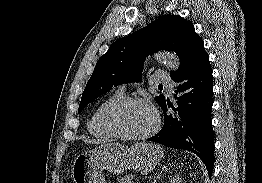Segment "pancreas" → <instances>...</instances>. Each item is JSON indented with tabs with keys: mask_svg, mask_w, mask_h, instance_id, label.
I'll return each instance as SVG.
<instances>
[{
	"mask_svg": "<svg viewBox=\"0 0 262 183\" xmlns=\"http://www.w3.org/2000/svg\"><path fill=\"white\" fill-rule=\"evenodd\" d=\"M133 178V175H126L123 178H121L117 183H132Z\"/></svg>",
	"mask_w": 262,
	"mask_h": 183,
	"instance_id": "obj_1",
	"label": "pancreas"
}]
</instances>
